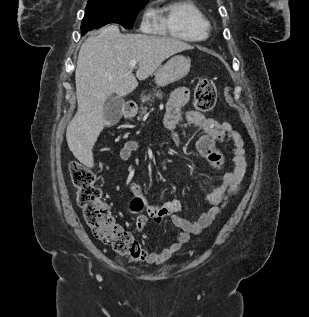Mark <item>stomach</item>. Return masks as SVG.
<instances>
[{"label":"stomach","mask_w":309,"mask_h":317,"mask_svg":"<svg viewBox=\"0 0 309 317\" xmlns=\"http://www.w3.org/2000/svg\"><path fill=\"white\" fill-rule=\"evenodd\" d=\"M191 60L183 55H175L170 58L155 74V83L159 87L167 86L171 83L183 79L190 71ZM148 101L147 96L142 97V102ZM133 116V114H130Z\"/></svg>","instance_id":"1"}]
</instances>
